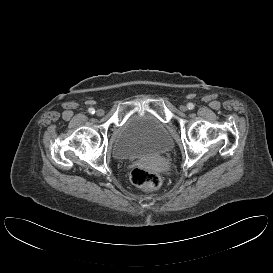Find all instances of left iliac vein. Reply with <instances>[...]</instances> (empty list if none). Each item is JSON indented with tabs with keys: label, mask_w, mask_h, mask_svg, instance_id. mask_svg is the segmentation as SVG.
Returning <instances> with one entry per match:
<instances>
[{
	"label": "left iliac vein",
	"mask_w": 273,
	"mask_h": 273,
	"mask_svg": "<svg viewBox=\"0 0 273 273\" xmlns=\"http://www.w3.org/2000/svg\"><path fill=\"white\" fill-rule=\"evenodd\" d=\"M180 110L183 111V112H185L187 110V107L185 105H181L180 106Z\"/></svg>",
	"instance_id": "1"
}]
</instances>
